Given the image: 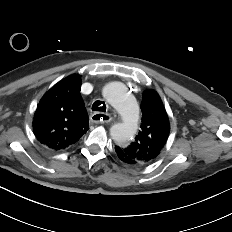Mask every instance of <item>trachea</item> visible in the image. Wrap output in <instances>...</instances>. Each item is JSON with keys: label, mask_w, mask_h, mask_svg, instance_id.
Masks as SVG:
<instances>
[{"label": "trachea", "mask_w": 232, "mask_h": 232, "mask_svg": "<svg viewBox=\"0 0 232 232\" xmlns=\"http://www.w3.org/2000/svg\"><path fill=\"white\" fill-rule=\"evenodd\" d=\"M92 110L93 111H100V112H105L106 111V104L103 101H95L92 105Z\"/></svg>", "instance_id": "3493384b"}]
</instances>
